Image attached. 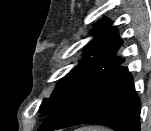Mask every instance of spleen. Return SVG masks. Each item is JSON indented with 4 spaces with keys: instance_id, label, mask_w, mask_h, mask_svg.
I'll list each match as a JSON object with an SVG mask.
<instances>
[{
    "instance_id": "3e777b00",
    "label": "spleen",
    "mask_w": 151,
    "mask_h": 131,
    "mask_svg": "<svg viewBox=\"0 0 151 131\" xmlns=\"http://www.w3.org/2000/svg\"><path fill=\"white\" fill-rule=\"evenodd\" d=\"M79 131H107V130L98 127H85V128H81Z\"/></svg>"
}]
</instances>
